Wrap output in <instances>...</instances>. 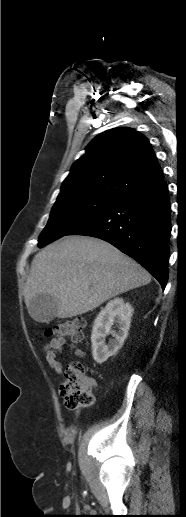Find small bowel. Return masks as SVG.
Returning a JSON list of instances; mask_svg holds the SVG:
<instances>
[{
    "label": "small bowel",
    "instance_id": "obj_1",
    "mask_svg": "<svg viewBox=\"0 0 186 517\" xmlns=\"http://www.w3.org/2000/svg\"><path fill=\"white\" fill-rule=\"evenodd\" d=\"M67 344V341L64 338H53L51 339L44 347V355L48 365L51 369L57 373L61 374L63 371V365L58 358V353L64 348ZM74 350V354L80 358L85 356V353L78 347L72 345ZM78 412L75 414V419L78 417Z\"/></svg>",
    "mask_w": 186,
    "mask_h": 517
}]
</instances>
